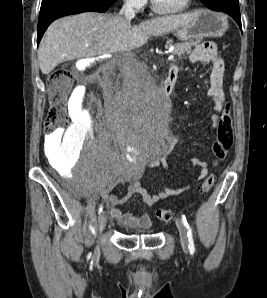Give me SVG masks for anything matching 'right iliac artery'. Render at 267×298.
I'll return each instance as SVG.
<instances>
[{
    "instance_id": "82829eb1",
    "label": "right iliac artery",
    "mask_w": 267,
    "mask_h": 298,
    "mask_svg": "<svg viewBox=\"0 0 267 298\" xmlns=\"http://www.w3.org/2000/svg\"><path fill=\"white\" fill-rule=\"evenodd\" d=\"M102 210H103V205L101 204L98 208V213L102 212ZM90 258H91V253L88 255V259Z\"/></svg>"
}]
</instances>
